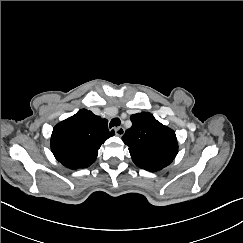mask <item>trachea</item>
Instances as JSON below:
<instances>
[{"instance_id": "obj_1", "label": "trachea", "mask_w": 243, "mask_h": 243, "mask_svg": "<svg viewBox=\"0 0 243 243\" xmlns=\"http://www.w3.org/2000/svg\"><path fill=\"white\" fill-rule=\"evenodd\" d=\"M121 123L120 119L119 118H113L111 121H110V128L114 127V126H119Z\"/></svg>"}]
</instances>
